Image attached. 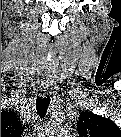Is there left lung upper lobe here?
Instances as JSON below:
<instances>
[{
  "instance_id": "left-lung-upper-lobe-1",
  "label": "left lung upper lobe",
  "mask_w": 121,
  "mask_h": 137,
  "mask_svg": "<svg viewBox=\"0 0 121 137\" xmlns=\"http://www.w3.org/2000/svg\"><path fill=\"white\" fill-rule=\"evenodd\" d=\"M77 130L81 136H121V131L114 122L88 111L80 113Z\"/></svg>"
}]
</instances>
